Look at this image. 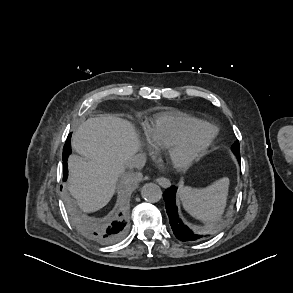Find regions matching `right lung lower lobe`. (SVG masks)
Here are the masks:
<instances>
[{"label": "right lung lower lobe", "instance_id": "1", "mask_svg": "<svg viewBox=\"0 0 293 293\" xmlns=\"http://www.w3.org/2000/svg\"><path fill=\"white\" fill-rule=\"evenodd\" d=\"M70 137L68 136L63 148V180L66 181L68 176L67 159L71 153ZM82 228L86 233L91 235V238L100 244H113L121 240L127 230V221L124 217L115 218L112 222L103 224L101 226H91L87 223H82Z\"/></svg>", "mask_w": 293, "mask_h": 293}]
</instances>
